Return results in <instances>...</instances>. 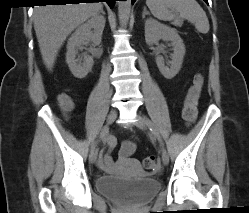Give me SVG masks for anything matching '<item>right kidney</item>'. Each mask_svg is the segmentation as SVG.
Segmentation results:
<instances>
[{"label": "right kidney", "instance_id": "1", "mask_svg": "<svg viewBox=\"0 0 249 213\" xmlns=\"http://www.w3.org/2000/svg\"><path fill=\"white\" fill-rule=\"evenodd\" d=\"M105 27V18L101 15H94L88 21L80 25L71 35L67 44L66 62L72 74L79 79L85 78L92 70L93 58L85 56L83 63L76 59L78 49L92 41L99 45L102 39V33Z\"/></svg>", "mask_w": 249, "mask_h": 213}]
</instances>
